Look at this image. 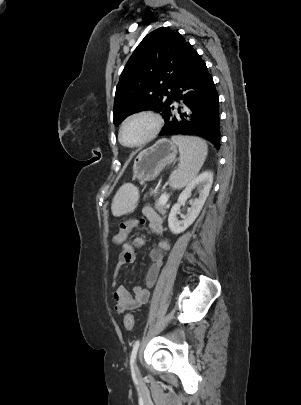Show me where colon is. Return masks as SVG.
Segmentation results:
<instances>
[{"label": "colon", "mask_w": 301, "mask_h": 405, "mask_svg": "<svg viewBox=\"0 0 301 405\" xmlns=\"http://www.w3.org/2000/svg\"><path fill=\"white\" fill-rule=\"evenodd\" d=\"M145 223L144 219H124L118 223V233L113 235L112 241L116 247H122L126 242L127 235L137 226ZM124 326L127 331H132L134 328V317L131 313H127L124 317Z\"/></svg>", "instance_id": "colon-1"}]
</instances>
